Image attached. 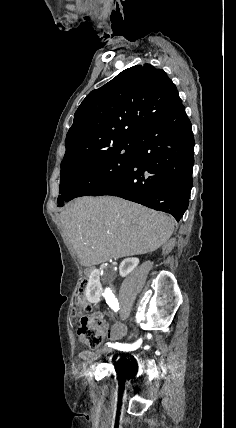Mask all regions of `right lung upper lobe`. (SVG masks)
Segmentation results:
<instances>
[{
  "mask_svg": "<svg viewBox=\"0 0 236 428\" xmlns=\"http://www.w3.org/2000/svg\"><path fill=\"white\" fill-rule=\"evenodd\" d=\"M181 106L176 86L162 69L145 63L122 71L91 91L78 107L61 169L121 141L135 140Z\"/></svg>",
  "mask_w": 236,
  "mask_h": 428,
  "instance_id": "right-lung-upper-lobe-1",
  "label": "right lung upper lobe"
}]
</instances>
